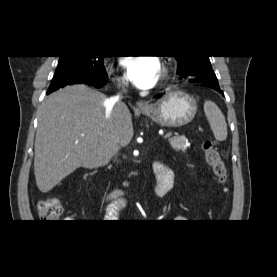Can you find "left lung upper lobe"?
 <instances>
[{"instance_id": "5c2ea615", "label": "left lung upper lobe", "mask_w": 277, "mask_h": 277, "mask_svg": "<svg viewBox=\"0 0 277 277\" xmlns=\"http://www.w3.org/2000/svg\"><path fill=\"white\" fill-rule=\"evenodd\" d=\"M182 78L199 76H216L209 60V56H175Z\"/></svg>"}]
</instances>
